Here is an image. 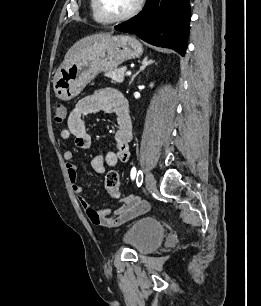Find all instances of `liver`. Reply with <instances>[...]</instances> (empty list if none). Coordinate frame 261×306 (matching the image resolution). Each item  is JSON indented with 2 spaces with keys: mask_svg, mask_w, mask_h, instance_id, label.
<instances>
[{
  "mask_svg": "<svg viewBox=\"0 0 261 306\" xmlns=\"http://www.w3.org/2000/svg\"><path fill=\"white\" fill-rule=\"evenodd\" d=\"M110 36V33H98L87 36L85 38L77 41L66 53L64 61L74 57L77 53H79L83 48Z\"/></svg>",
  "mask_w": 261,
  "mask_h": 306,
  "instance_id": "liver-1",
  "label": "liver"
}]
</instances>
